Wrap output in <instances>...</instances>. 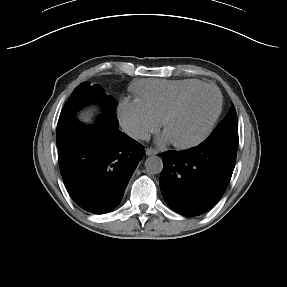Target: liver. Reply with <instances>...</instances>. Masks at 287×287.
Masks as SVG:
<instances>
[{
	"mask_svg": "<svg viewBox=\"0 0 287 287\" xmlns=\"http://www.w3.org/2000/svg\"><path fill=\"white\" fill-rule=\"evenodd\" d=\"M80 118H81L84 122L90 121L89 115H84V114H83Z\"/></svg>",
	"mask_w": 287,
	"mask_h": 287,
	"instance_id": "obj_1",
	"label": "liver"
}]
</instances>
